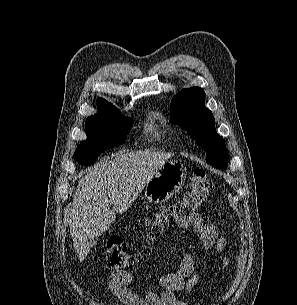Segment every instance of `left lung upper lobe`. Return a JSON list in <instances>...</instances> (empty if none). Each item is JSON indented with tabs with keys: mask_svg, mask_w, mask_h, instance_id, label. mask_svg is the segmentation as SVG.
Segmentation results:
<instances>
[{
	"mask_svg": "<svg viewBox=\"0 0 297 305\" xmlns=\"http://www.w3.org/2000/svg\"><path fill=\"white\" fill-rule=\"evenodd\" d=\"M205 92L200 87L183 89L171 101L170 122L185 129L207 153V162L225 168L229 162L225 142L215 131L212 112L205 107Z\"/></svg>",
	"mask_w": 297,
	"mask_h": 305,
	"instance_id": "5c2ea615",
	"label": "left lung upper lobe"
}]
</instances>
